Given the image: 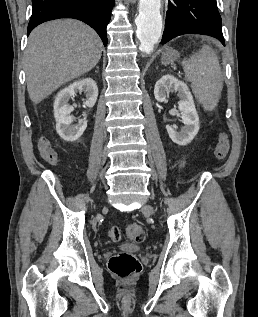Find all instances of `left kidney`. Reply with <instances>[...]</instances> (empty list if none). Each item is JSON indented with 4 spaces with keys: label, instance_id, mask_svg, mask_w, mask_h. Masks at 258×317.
<instances>
[{
    "label": "left kidney",
    "instance_id": "left-kidney-1",
    "mask_svg": "<svg viewBox=\"0 0 258 317\" xmlns=\"http://www.w3.org/2000/svg\"><path fill=\"white\" fill-rule=\"evenodd\" d=\"M169 90H176L181 98L178 108L181 110V118L185 126L178 132V130L166 124L167 132L173 142L185 146L193 140L200 128L199 116L187 84L183 80H178L173 74H164L155 84L154 96L156 100H159V102L166 100V94Z\"/></svg>",
    "mask_w": 258,
    "mask_h": 317
}]
</instances>
